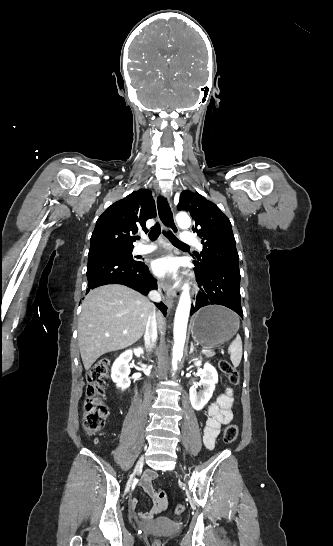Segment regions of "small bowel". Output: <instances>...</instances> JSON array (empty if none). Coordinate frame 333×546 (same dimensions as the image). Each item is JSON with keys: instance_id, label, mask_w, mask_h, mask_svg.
Returning a JSON list of instances; mask_svg holds the SVG:
<instances>
[{"instance_id": "1", "label": "small bowel", "mask_w": 333, "mask_h": 546, "mask_svg": "<svg viewBox=\"0 0 333 546\" xmlns=\"http://www.w3.org/2000/svg\"><path fill=\"white\" fill-rule=\"evenodd\" d=\"M233 391L224 385L223 392L218 396L215 403H212L207 410L208 419L203 432V443L207 449H213L217 436L220 433L222 425L229 424L234 419ZM157 478L155 470H148L141 480V486L151 498V507L148 512L140 517L143 520H150L155 515L161 513L167 505L165 493L154 486V480ZM137 506V500L130 501L132 510Z\"/></svg>"}]
</instances>
